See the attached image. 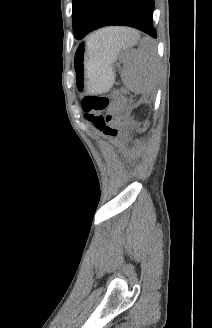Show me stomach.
Returning a JSON list of instances; mask_svg holds the SVG:
<instances>
[{
	"label": "stomach",
	"instance_id": "stomach-1",
	"mask_svg": "<svg viewBox=\"0 0 212 328\" xmlns=\"http://www.w3.org/2000/svg\"><path fill=\"white\" fill-rule=\"evenodd\" d=\"M113 62L105 54L93 53L86 44L75 60L78 86L87 93L106 92L114 82Z\"/></svg>",
	"mask_w": 212,
	"mask_h": 328
}]
</instances>
